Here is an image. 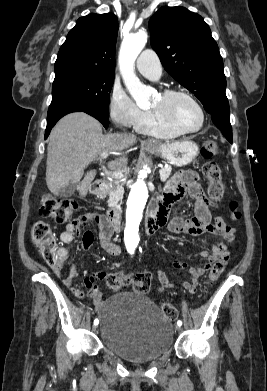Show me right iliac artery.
<instances>
[{
	"instance_id": "1",
	"label": "right iliac artery",
	"mask_w": 267,
	"mask_h": 391,
	"mask_svg": "<svg viewBox=\"0 0 267 391\" xmlns=\"http://www.w3.org/2000/svg\"><path fill=\"white\" fill-rule=\"evenodd\" d=\"M94 324H95V325L98 324V320H97V319L94 320Z\"/></svg>"
}]
</instances>
